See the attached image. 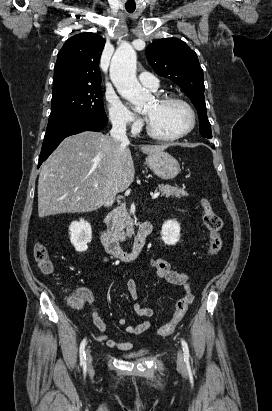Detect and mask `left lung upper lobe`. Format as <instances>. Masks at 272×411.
I'll return each instance as SVG.
<instances>
[{"label": "left lung upper lobe", "instance_id": "1", "mask_svg": "<svg viewBox=\"0 0 272 411\" xmlns=\"http://www.w3.org/2000/svg\"><path fill=\"white\" fill-rule=\"evenodd\" d=\"M146 56L157 74L184 90L198 111L201 135L212 138L204 100L203 70L196 53L180 39L163 38L147 47Z\"/></svg>", "mask_w": 272, "mask_h": 411}]
</instances>
